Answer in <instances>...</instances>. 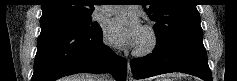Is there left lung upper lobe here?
Returning <instances> with one entry per match:
<instances>
[{
    "label": "left lung upper lobe",
    "mask_w": 237,
    "mask_h": 81,
    "mask_svg": "<svg viewBox=\"0 0 237 81\" xmlns=\"http://www.w3.org/2000/svg\"><path fill=\"white\" fill-rule=\"evenodd\" d=\"M148 6L159 44L181 34L203 32L195 0H150Z\"/></svg>",
    "instance_id": "1"
}]
</instances>
